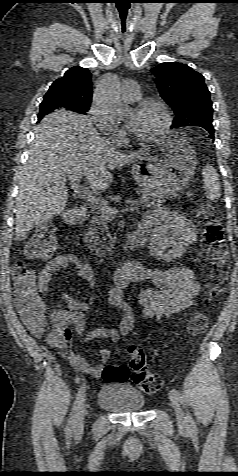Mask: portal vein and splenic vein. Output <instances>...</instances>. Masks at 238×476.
Wrapping results in <instances>:
<instances>
[{
	"label": "portal vein and splenic vein",
	"mask_w": 238,
	"mask_h": 476,
	"mask_svg": "<svg viewBox=\"0 0 238 476\" xmlns=\"http://www.w3.org/2000/svg\"><path fill=\"white\" fill-rule=\"evenodd\" d=\"M69 179L73 184L77 186V188H79L77 193L79 194L81 199L87 201L93 207L98 209L101 212V215L103 216L104 219L111 220L119 212V210L110 207L107 202L101 201L98 198H96L91 192L88 191V188L84 187L83 185H80L81 176H71ZM121 211L137 212L139 211V207H138V204H135L133 206L124 208Z\"/></svg>",
	"instance_id": "portal-vein-and-splenic-vein-1"
}]
</instances>
